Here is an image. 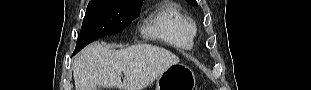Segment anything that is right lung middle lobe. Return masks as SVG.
<instances>
[{"mask_svg":"<svg viewBox=\"0 0 311 90\" xmlns=\"http://www.w3.org/2000/svg\"><path fill=\"white\" fill-rule=\"evenodd\" d=\"M141 2L93 0L87 6L75 53L94 40L121 32L139 14Z\"/></svg>","mask_w":311,"mask_h":90,"instance_id":"1","label":"right lung middle lobe"}]
</instances>
